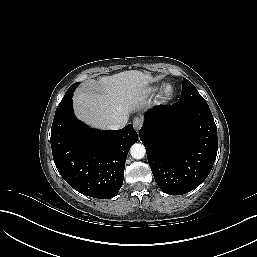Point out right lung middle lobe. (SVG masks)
<instances>
[{"mask_svg": "<svg viewBox=\"0 0 257 257\" xmlns=\"http://www.w3.org/2000/svg\"><path fill=\"white\" fill-rule=\"evenodd\" d=\"M78 82L73 84L66 92V94L64 95L62 101L60 102V104L58 105L57 109L61 108L62 106L68 104L69 102L72 101V95L73 92L75 90V88L78 86Z\"/></svg>", "mask_w": 257, "mask_h": 257, "instance_id": "obj_1", "label": "right lung middle lobe"}]
</instances>
